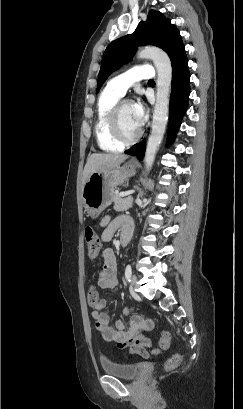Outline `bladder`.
Returning a JSON list of instances; mask_svg holds the SVG:
<instances>
[{
  "mask_svg": "<svg viewBox=\"0 0 243 409\" xmlns=\"http://www.w3.org/2000/svg\"><path fill=\"white\" fill-rule=\"evenodd\" d=\"M102 370L108 374L118 378L133 380L141 372L139 364L118 363L110 360L101 361Z\"/></svg>",
  "mask_w": 243,
  "mask_h": 409,
  "instance_id": "31cf9c89",
  "label": "bladder"
}]
</instances>
